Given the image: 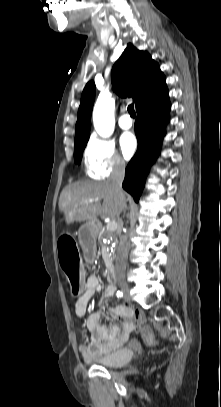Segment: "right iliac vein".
Wrapping results in <instances>:
<instances>
[{
  "label": "right iliac vein",
  "mask_w": 221,
  "mask_h": 407,
  "mask_svg": "<svg viewBox=\"0 0 221 407\" xmlns=\"http://www.w3.org/2000/svg\"><path fill=\"white\" fill-rule=\"evenodd\" d=\"M120 288L122 293L124 294V297L127 301H130L131 297H130V289L129 286L126 282H121L120 283Z\"/></svg>",
  "instance_id": "1"
}]
</instances>
